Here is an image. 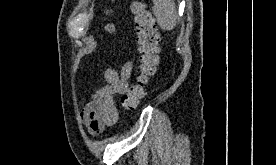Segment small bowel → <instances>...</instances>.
I'll return each instance as SVG.
<instances>
[{"label": "small bowel", "mask_w": 276, "mask_h": 165, "mask_svg": "<svg viewBox=\"0 0 276 165\" xmlns=\"http://www.w3.org/2000/svg\"><path fill=\"white\" fill-rule=\"evenodd\" d=\"M132 70L133 64L129 61L120 71L114 68L104 71L105 85L81 112V119L91 134H98L116 123L118 111L115 96L123 95L128 90Z\"/></svg>", "instance_id": "1"}]
</instances>
